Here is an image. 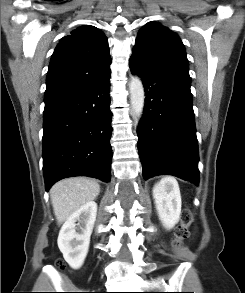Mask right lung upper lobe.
Here are the masks:
<instances>
[{
    "mask_svg": "<svg viewBox=\"0 0 245 293\" xmlns=\"http://www.w3.org/2000/svg\"><path fill=\"white\" fill-rule=\"evenodd\" d=\"M107 37L83 25L61 39L49 65L45 104L60 100L110 74Z\"/></svg>",
    "mask_w": 245,
    "mask_h": 293,
    "instance_id": "1",
    "label": "right lung upper lobe"
}]
</instances>
